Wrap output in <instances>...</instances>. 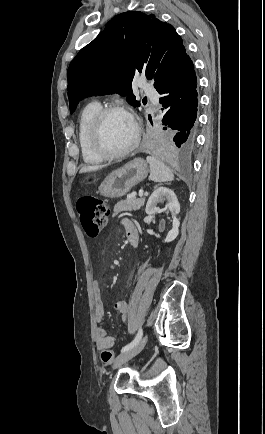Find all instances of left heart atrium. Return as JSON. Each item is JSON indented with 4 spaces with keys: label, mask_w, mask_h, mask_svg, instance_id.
Here are the masks:
<instances>
[{
    "label": "left heart atrium",
    "mask_w": 265,
    "mask_h": 434,
    "mask_svg": "<svg viewBox=\"0 0 265 434\" xmlns=\"http://www.w3.org/2000/svg\"><path fill=\"white\" fill-rule=\"evenodd\" d=\"M130 117V119H131V121L134 123V120H133V118L131 117V116H129Z\"/></svg>",
    "instance_id": "39dd6f15"
}]
</instances>
